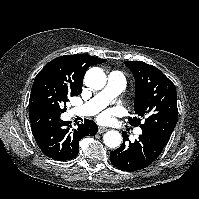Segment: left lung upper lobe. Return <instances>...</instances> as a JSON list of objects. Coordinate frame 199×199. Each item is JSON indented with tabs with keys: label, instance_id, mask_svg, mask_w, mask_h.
<instances>
[{
	"label": "left lung upper lobe",
	"instance_id": "obj_1",
	"mask_svg": "<svg viewBox=\"0 0 199 199\" xmlns=\"http://www.w3.org/2000/svg\"><path fill=\"white\" fill-rule=\"evenodd\" d=\"M135 78L134 110L138 117L130 118L132 126L169 141L178 119L175 85L156 67L141 61H125ZM144 123L140 124V118Z\"/></svg>",
	"mask_w": 199,
	"mask_h": 199
}]
</instances>
